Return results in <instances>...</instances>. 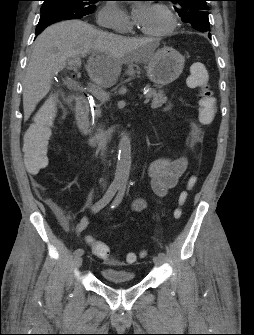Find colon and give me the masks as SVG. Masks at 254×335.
I'll use <instances>...</instances> for the list:
<instances>
[{"label":"colon","mask_w":254,"mask_h":335,"mask_svg":"<svg viewBox=\"0 0 254 335\" xmlns=\"http://www.w3.org/2000/svg\"><path fill=\"white\" fill-rule=\"evenodd\" d=\"M190 69L191 74L188 78V85L200 91L198 105L200 122L203 125H209L212 123L217 110V102L209 86V73L201 63L192 64ZM56 110L57 107L54 102L48 101L44 103L36 113L34 121L28 126L23 143L25 150L22 153L23 172H46V166H48V159L46 158L49 156L47 140L53 126ZM195 181L194 177L189 179L188 185L190 188L194 186ZM187 199L188 192L183 191L179 196V207L175 210V218L180 219L182 217V206L187 202ZM91 245L98 257L107 259L109 262L113 260L105 243L91 241ZM135 261L136 255L128 253L126 262L133 264Z\"/></svg>","instance_id":"obj_1"}]
</instances>
